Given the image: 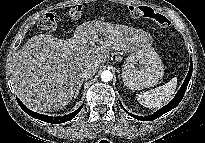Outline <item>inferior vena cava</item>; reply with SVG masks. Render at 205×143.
Instances as JSON below:
<instances>
[{
  "mask_svg": "<svg viewBox=\"0 0 205 143\" xmlns=\"http://www.w3.org/2000/svg\"><path fill=\"white\" fill-rule=\"evenodd\" d=\"M98 68V64H87L84 68H82L80 76L85 79L92 78L95 75Z\"/></svg>",
  "mask_w": 205,
  "mask_h": 143,
  "instance_id": "inferior-vena-cava-1",
  "label": "inferior vena cava"
}]
</instances>
